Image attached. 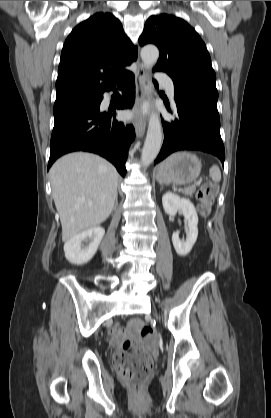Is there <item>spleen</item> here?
<instances>
[{"mask_svg": "<svg viewBox=\"0 0 271 418\" xmlns=\"http://www.w3.org/2000/svg\"><path fill=\"white\" fill-rule=\"evenodd\" d=\"M209 172L214 182H219L221 180V172L218 166H212Z\"/></svg>", "mask_w": 271, "mask_h": 418, "instance_id": "3e777b00", "label": "spleen"}]
</instances>
